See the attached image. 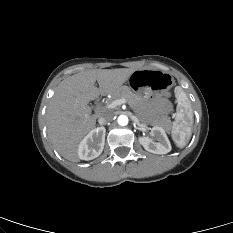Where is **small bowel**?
<instances>
[{"instance_id": "small-bowel-1", "label": "small bowel", "mask_w": 233, "mask_h": 233, "mask_svg": "<svg viewBox=\"0 0 233 233\" xmlns=\"http://www.w3.org/2000/svg\"><path fill=\"white\" fill-rule=\"evenodd\" d=\"M159 103H160V107H161V109L163 111H168L169 110L170 105H169V102L166 99L160 100Z\"/></svg>"}]
</instances>
